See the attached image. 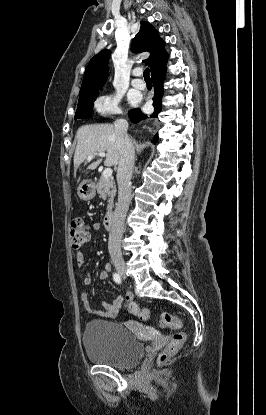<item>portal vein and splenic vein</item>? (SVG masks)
I'll list each match as a JSON object with an SVG mask.
<instances>
[{
	"instance_id": "portal-vein-and-splenic-vein-1",
	"label": "portal vein and splenic vein",
	"mask_w": 266,
	"mask_h": 415,
	"mask_svg": "<svg viewBox=\"0 0 266 415\" xmlns=\"http://www.w3.org/2000/svg\"><path fill=\"white\" fill-rule=\"evenodd\" d=\"M96 155H99L100 157H105V156H106L104 151H100V152L95 153V154H93V155H89V156L87 157V161H91V160L93 159V157H94V156H96ZM112 172H113V171H112V169H111L110 167L105 168V169H104V171L102 172V176H103L104 178H109V177H111V176H112Z\"/></svg>"
}]
</instances>
